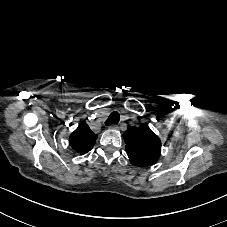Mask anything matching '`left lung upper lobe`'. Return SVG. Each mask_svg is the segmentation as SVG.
I'll list each match as a JSON object with an SVG mask.
<instances>
[{
	"label": "left lung upper lobe",
	"mask_w": 227,
	"mask_h": 227,
	"mask_svg": "<svg viewBox=\"0 0 227 227\" xmlns=\"http://www.w3.org/2000/svg\"><path fill=\"white\" fill-rule=\"evenodd\" d=\"M123 137L127 155L133 165L147 167L158 160L161 141L146 123L139 127H129Z\"/></svg>",
	"instance_id": "5c2ea615"
}]
</instances>
